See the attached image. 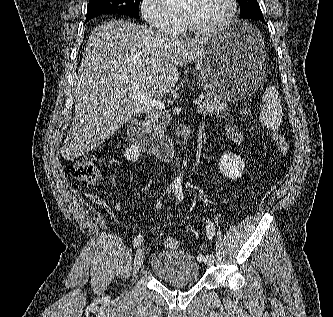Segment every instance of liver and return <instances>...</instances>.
<instances>
[{
	"label": "liver",
	"mask_w": 333,
	"mask_h": 317,
	"mask_svg": "<svg viewBox=\"0 0 333 317\" xmlns=\"http://www.w3.org/2000/svg\"><path fill=\"white\" fill-rule=\"evenodd\" d=\"M207 39L185 41L126 20L97 26L74 81L75 113L62 157L73 160L95 149L147 110L129 97L130 87L152 99L171 92L179 78L178 66L194 61Z\"/></svg>",
	"instance_id": "6515ba94"
}]
</instances>
